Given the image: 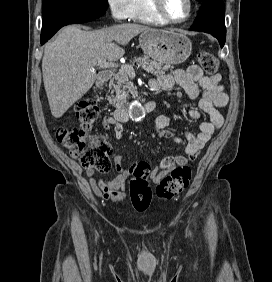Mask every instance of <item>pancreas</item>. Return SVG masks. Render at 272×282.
<instances>
[{"label":"pancreas","mask_w":272,"mask_h":282,"mask_svg":"<svg viewBox=\"0 0 272 282\" xmlns=\"http://www.w3.org/2000/svg\"><path fill=\"white\" fill-rule=\"evenodd\" d=\"M142 61H139L138 66L144 69L146 72L155 76H162L168 69L173 67L150 61L147 56L140 57ZM136 62V61H135ZM128 66H132L131 64ZM128 72L125 69H121L118 73L114 74L110 87L115 91V95L109 96L108 101L114 106L122 105L126 102V98L129 93L134 90L133 84L129 81Z\"/></svg>","instance_id":"obj_1"}]
</instances>
